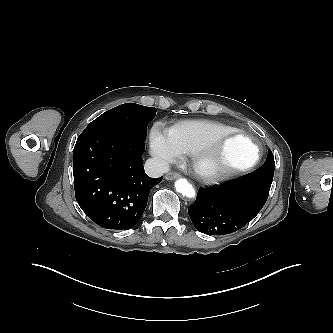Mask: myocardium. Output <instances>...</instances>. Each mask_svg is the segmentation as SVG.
Returning <instances> with one entry per match:
<instances>
[{"mask_svg": "<svg viewBox=\"0 0 333 333\" xmlns=\"http://www.w3.org/2000/svg\"><path fill=\"white\" fill-rule=\"evenodd\" d=\"M236 137L244 138L254 146L255 154L252 159L242 165L206 167V163L213 159L221 145L226 140ZM190 155L194 174L204 182L217 183L252 169L260 160L261 149L256 140L245 131L234 129L214 137L208 143L193 151Z\"/></svg>", "mask_w": 333, "mask_h": 333, "instance_id": "obj_1", "label": "myocardium"}]
</instances>
